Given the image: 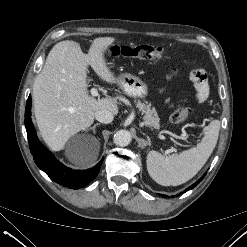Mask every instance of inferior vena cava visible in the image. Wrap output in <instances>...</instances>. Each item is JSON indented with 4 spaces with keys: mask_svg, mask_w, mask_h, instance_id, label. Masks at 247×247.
Returning a JSON list of instances; mask_svg holds the SVG:
<instances>
[{
    "mask_svg": "<svg viewBox=\"0 0 247 247\" xmlns=\"http://www.w3.org/2000/svg\"><path fill=\"white\" fill-rule=\"evenodd\" d=\"M95 118L97 121H99L101 123L108 124V123H111L113 121L114 115H113V113H111L108 110L101 109L95 113Z\"/></svg>",
    "mask_w": 247,
    "mask_h": 247,
    "instance_id": "inferior-vena-cava-1",
    "label": "inferior vena cava"
}]
</instances>
